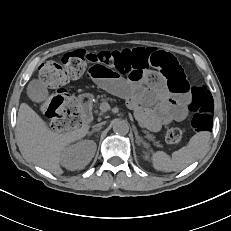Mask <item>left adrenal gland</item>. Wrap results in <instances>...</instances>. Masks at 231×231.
I'll return each instance as SVG.
<instances>
[{
  "mask_svg": "<svg viewBox=\"0 0 231 231\" xmlns=\"http://www.w3.org/2000/svg\"><path fill=\"white\" fill-rule=\"evenodd\" d=\"M135 138H136V143L137 145L143 144L145 147L147 146V143L138 135V131L135 129Z\"/></svg>",
  "mask_w": 231,
  "mask_h": 231,
  "instance_id": "obj_1",
  "label": "left adrenal gland"
}]
</instances>
